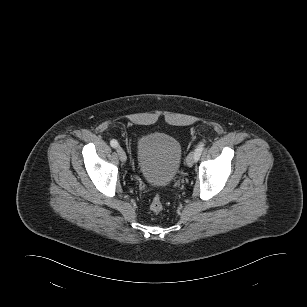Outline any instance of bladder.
<instances>
[{"instance_id":"bladder-1","label":"bladder","mask_w":307,"mask_h":307,"mask_svg":"<svg viewBox=\"0 0 307 307\" xmlns=\"http://www.w3.org/2000/svg\"><path fill=\"white\" fill-rule=\"evenodd\" d=\"M182 148L179 141L166 133L153 132L137 142V166L142 177L154 187L168 186L177 175Z\"/></svg>"}]
</instances>
